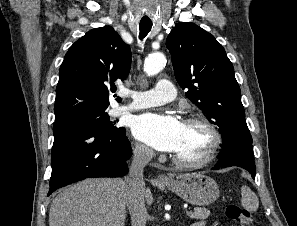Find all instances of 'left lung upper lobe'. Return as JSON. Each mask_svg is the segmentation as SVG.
<instances>
[{
    "instance_id": "obj_1",
    "label": "left lung upper lobe",
    "mask_w": 297,
    "mask_h": 226,
    "mask_svg": "<svg viewBox=\"0 0 297 226\" xmlns=\"http://www.w3.org/2000/svg\"><path fill=\"white\" fill-rule=\"evenodd\" d=\"M166 46L186 97L219 127L221 147L252 146L233 65L215 37L194 23H178Z\"/></svg>"
}]
</instances>
